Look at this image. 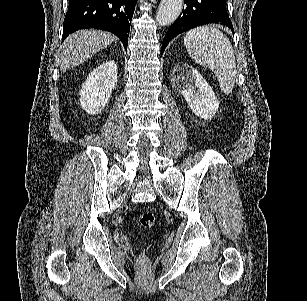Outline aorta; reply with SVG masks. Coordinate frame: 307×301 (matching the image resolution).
Returning <instances> with one entry per match:
<instances>
[{
    "label": "aorta",
    "instance_id": "762f6f07",
    "mask_svg": "<svg viewBox=\"0 0 307 301\" xmlns=\"http://www.w3.org/2000/svg\"><path fill=\"white\" fill-rule=\"evenodd\" d=\"M183 2L184 0H161L155 16L159 26L172 24L178 18Z\"/></svg>",
    "mask_w": 307,
    "mask_h": 301
}]
</instances>
